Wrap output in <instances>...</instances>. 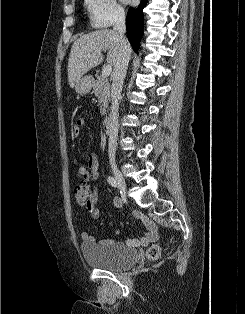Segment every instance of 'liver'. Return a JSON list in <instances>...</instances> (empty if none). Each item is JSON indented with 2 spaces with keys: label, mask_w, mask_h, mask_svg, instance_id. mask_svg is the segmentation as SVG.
<instances>
[{
  "label": "liver",
  "mask_w": 245,
  "mask_h": 314,
  "mask_svg": "<svg viewBox=\"0 0 245 314\" xmlns=\"http://www.w3.org/2000/svg\"><path fill=\"white\" fill-rule=\"evenodd\" d=\"M120 49V39L114 30H98L80 36L72 45L68 60V82L71 88L89 70L102 63L101 51L108 50L107 62L114 65ZM100 51V53H96Z\"/></svg>",
  "instance_id": "obj_1"
}]
</instances>
